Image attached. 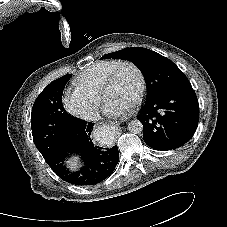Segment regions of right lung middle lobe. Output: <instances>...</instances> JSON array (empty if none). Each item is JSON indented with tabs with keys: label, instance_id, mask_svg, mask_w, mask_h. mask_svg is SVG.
<instances>
[{
	"label": "right lung middle lobe",
	"instance_id": "obj_1",
	"mask_svg": "<svg viewBox=\"0 0 227 227\" xmlns=\"http://www.w3.org/2000/svg\"><path fill=\"white\" fill-rule=\"evenodd\" d=\"M71 74L51 82L36 98L31 112L33 141L42 156H46L57 142L56 135L73 116L62 105V94Z\"/></svg>",
	"mask_w": 227,
	"mask_h": 227
}]
</instances>
